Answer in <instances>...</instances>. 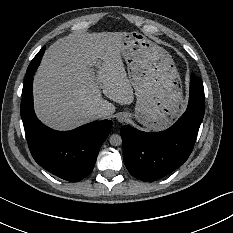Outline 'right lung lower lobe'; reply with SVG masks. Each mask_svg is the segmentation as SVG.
<instances>
[{"label": "right lung lower lobe", "instance_id": "98d812e1", "mask_svg": "<svg viewBox=\"0 0 233 233\" xmlns=\"http://www.w3.org/2000/svg\"><path fill=\"white\" fill-rule=\"evenodd\" d=\"M43 47L31 61L22 91L20 113L30 152L44 169L61 179L77 182L89 175L112 121H94L71 131H55L43 125L33 109V75L44 54Z\"/></svg>", "mask_w": 233, "mask_h": 233}]
</instances>
